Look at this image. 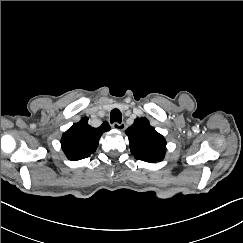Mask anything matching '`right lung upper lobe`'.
Wrapping results in <instances>:
<instances>
[{
    "label": "right lung upper lobe",
    "mask_w": 243,
    "mask_h": 243,
    "mask_svg": "<svg viewBox=\"0 0 243 243\" xmlns=\"http://www.w3.org/2000/svg\"><path fill=\"white\" fill-rule=\"evenodd\" d=\"M109 130L107 122L98 128H93L88 124V118L84 117L63 134L60 141L62 150L72 161L87 158L95 152L101 135Z\"/></svg>",
    "instance_id": "1"
}]
</instances>
